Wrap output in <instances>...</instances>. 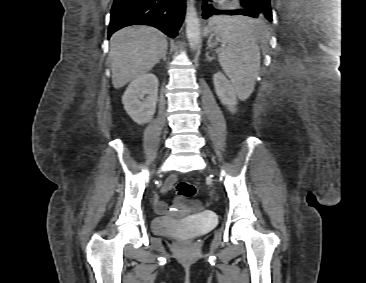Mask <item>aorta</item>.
I'll list each match as a JSON object with an SVG mask.
<instances>
[{"mask_svg":"<svg viewBox=\"0 0 366 283\" xmlns=\"http://www.w3.org/2000/svg\"><path fill=\"white\" fill-rule=\"evenodd\" d=\"M194 0L187 1L186 35L192 50H197L200 43V20L194 5Z\"/></svg>","mask_w":366,"mask_h":283,"instance_id":"aorta-1","label":"aorta"}]
</instances>
